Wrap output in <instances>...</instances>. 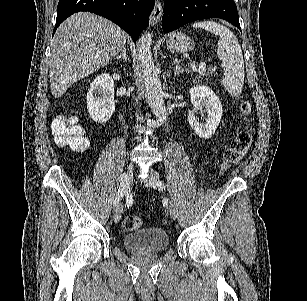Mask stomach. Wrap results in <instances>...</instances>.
Instances as JSON below:
<instances>
[{
    "label": "stomach",
    "instance_id": "0dacf381",
    "mask_svg": "<svg viewBox=\"0 0 307 301\" xmlns=\"http://www.w3.org/2000/svg\"><path fill=\"white\" fill-rule=\"evenodd\" d=\"M166 44L171 52H187V50H193L195 46L193 38L184 32H173L166 40Z\"/></svg>",
    "mask_w": 307,
    "mask_h": 301
}]
</instances>
